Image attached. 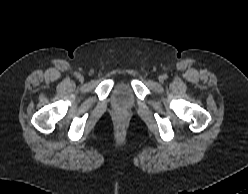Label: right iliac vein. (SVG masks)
Here are the masks:
<instances>
[{
	"label": "right iliac vein",
	"mask_w": 248,
	"mask_h": 194,
	"mask_svg": "<svg viewBox=\"0 0 248 194\" xmlns=\"http://www.w3.org/2000/svg\"><path fill=\"white\" fill-rule=\"evenodd\" d=\"M79 80H80V81H83V80H84V78H83L82 76H80V77H79Z\"/></svg>",
	"instance_id": "right-iliac-vein-1"
}]
</instances>
